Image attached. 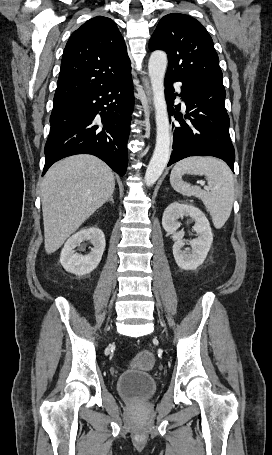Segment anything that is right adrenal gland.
<instances>
[{
  "instance_id": "1",
  "label": "right adrenal gland",
  "mask_w": 272,
  "mask_h": 455,
  "mask_svg": "<svg viewBox=\"0 0 272 455\" xmlns=\"http://www.w3.org/2000/svg\"><path fill=\"white\" fill-rule=\"evenodd\" d=\"M111 202L112 204H114V199H113V195L107 200V202Z\"/></svg>"
}]
</instances>
